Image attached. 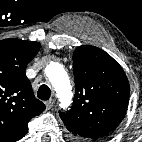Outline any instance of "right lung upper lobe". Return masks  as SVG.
<instances>
[{
  "label": "right lung upper lobe",
  "mask_w": 142,
  "mask_h": 142,
  "mask_svg": "<svg viewBox=\"0 0 142 142\" xmlns=\"http://www.w3.org/2000/svg\"><path fill=\"white\" fill-rule=\"evenodd\" d=\"M39 49L38 42L0 41V142L20 140L28 131L29 120L45 109L25 74Z\"/></svg>",
  "instance_id": "1"
}]
</instances>
